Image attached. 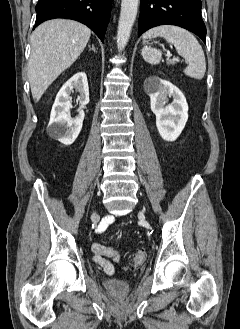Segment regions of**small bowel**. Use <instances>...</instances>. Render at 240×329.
<instances>
[{"label": "small bowel", "instance_id": "c3829d8e", "mask_svg": "<svg viewBox=\"0 0 240 329\" xmlns=\"http://www.w3.org/2000/svg\"><path fill=\"white\" fill-rule=\"evenodd\" d=\"M114 220L113 216H107L101 223L100 229L104 230L108 224ZM92 251L94 253L93 261L101 267V269L107 275L114 274L115 268L114 263L119 261V252L110 246L95 243L92 245ZM110 259V260H109Z\"/></svg>", "mask_w": 240, "mask_h": 329}]
</instances>
